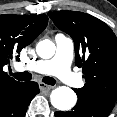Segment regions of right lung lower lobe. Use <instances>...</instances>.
Segmentation results:
<instances>
[{"mask_svg": "<svg viewBox=\"0 0 117 117\" xmlns=\"http://www.w3.org/2000/svg\"><path fill=\"white\" fill-rule=\"evenodd\" d=\"M39 91L36 82L22 83L0 102V117H25L28 105Z\"/></svg>", "mask_w": 117, "mask_h": 117, "instance_id": "obj_1", "label": "right lung lower lobe"}]
</instances>
